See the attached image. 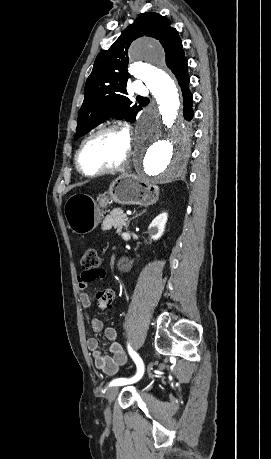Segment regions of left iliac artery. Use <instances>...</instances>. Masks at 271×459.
<instances>
[{
  "label": "left iliac artery",
  "mask_w": 271,
  "mask_h": 459,
  "mask_svg": "<svg viewBox=\"0 0 271 459\" xmlns=\"http://www.w3.org/2000/svg\"><path fill=\"white\" fill-rule=\"evenodd\" d=\"M128 351L131 356V358L134 360L136 363L137 367V372L134 374V377H131L130 379L126 378H118L110 382V386H119L121 387H128L131 386L133 383L132 382H141V377H144V366H143V361L140 358V356L133 351V349L128 345Z\"/></svg>",
  "instance_id": "44dca946"
}]
</instances>
